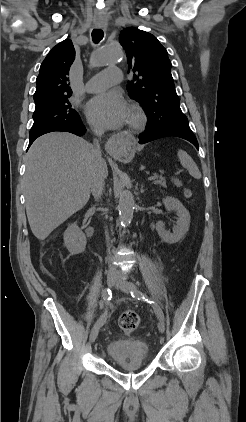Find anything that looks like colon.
Here are the masks:
<instances>
[{"label":"colon","instance_id":"5ec220e1","mask_svg":"<svg viewBox=\"0 0 246 422\" xmlns=\"http://www.w3.org/2000/svg\"><path fill=\"white\" fill-rule=\"evenodd\" d=\"M176 183L180 185V182L178 180H176ZM185 194L189 196L190 195L189 190H185ZM139 323H140L139 316L137 315L136 312L132 310L124 311L118 319L119 327L121 328V330H123L126 333H131L135 331L138 328Z\"/></svg>","mask_w":246,"mask_h":422}]
</instances>
